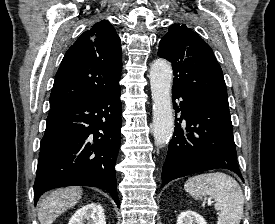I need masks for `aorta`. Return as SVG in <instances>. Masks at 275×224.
Masks as SVG:
<instances>
[{"label":"aorta","instance_id":"1","mask_svg":"<svg viewBox=\"0 0 275 224\" xmlns=\"http://www.w3.org/2000/svg\"><path fill=\"white\" fill-rule=\"evenodd\" d=\"M171 65L163 59H157L151 66L150 86L153 100V135L155 144H167L174 131V119L171 102Z\"/></svg>","mask_w":275,"mask_h":224}]
</instances>
